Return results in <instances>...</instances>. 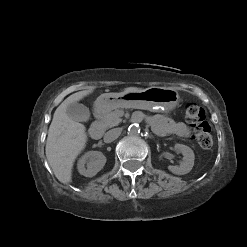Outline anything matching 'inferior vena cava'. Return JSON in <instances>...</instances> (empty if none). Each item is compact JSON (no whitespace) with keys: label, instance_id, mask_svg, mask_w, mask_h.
I'll list each match as a JSON object with an SVG mask.
<instances>
[{"label":"inferior vena cava","instance_id":"inferior-vena-cava-1","mask_svg":"<svg viewBox=\"0 0 247 247\" xmlns=\"http://www.w3.org/2000/svg\"><path fill=\"white\" fill-rule=\"evenodd\" d=\"M121 132H122L121 128H114L109 130L104 135V141L107 143L114 141L120 136Z\"/></svg>","mask_w":247,"mask_h":247}]
</instances>
